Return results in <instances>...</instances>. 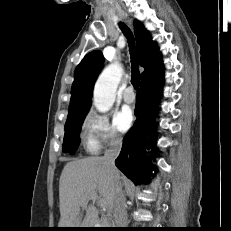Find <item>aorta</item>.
I'll return each instance as SVG.
<instances>
[{
    "label": "aorta",
    "mask_w": 231,
    "mask_h": 231,
    "mask_svg": "<svg viewBox=\"0 0 231 231\" xmlns=\"http://www.w3.org/2000/svg\"><path fill=\"white\" fill-rule=\"evenodd\" d=\"M123 70L117 63L110 64L99 76L94 87V105L99 112H107L115 102L116 90Z\"/></svg>",
    "instance_id": "762f6f07"
}]
</instances>
